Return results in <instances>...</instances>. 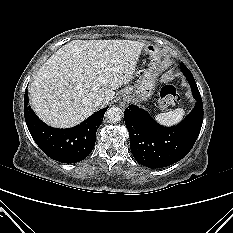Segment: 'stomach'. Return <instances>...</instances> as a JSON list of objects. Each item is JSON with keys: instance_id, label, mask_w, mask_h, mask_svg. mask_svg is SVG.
Instances as JSON below:
<instances>
[{"instance_id": "stomach-1", "label": "stomach", "mask_w": 233, "mask_h": 233, "mask_svg": "<svg viewBox=\"0 0 233 233\" xmlns=\"http://www.w3.org/2000/svg\"><path fill=\"white\" fill-rule=\"evenodd\" d=\"M144 51L151 58L150 66L134 87H130L124 91L129 95L130 100L134 101H145L152 95L158 76V63L161 57L160 50L155 45L147 44Z\"/></svg>"}]
</instances>
